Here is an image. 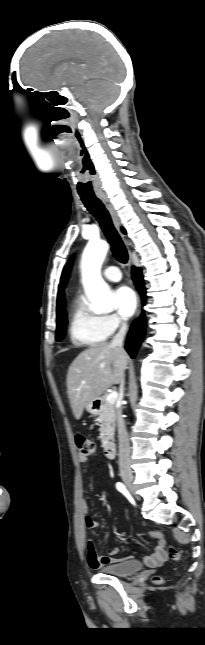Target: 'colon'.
Returning a JSON list of instances; mask_svg holds the SVG:
<instances>
[{
  "instance_id": "obj_1",
  "label": "colon",
  "mask_w": 205,
  "mask_h": 645,
  "mask_svg": "<svg viewBox=\"0 0 205 645\" xmlns=\"http://www.w3.org/2000/svg\"><path fill=\"white\" fill-rule=\"evenodd\" d=\"M75 443L77 446V450L81 456L86 458L94 456L95 444L90 438L79 434L75 436ZM149 536L153 538H158V539H165V536L159 532H151L149 533ZM168 555L172 560H175V561H178L181 558V554L179 550L173 545H170L168 547ZM153 580L156 583H161L163 581L162 577L160 576H155Z\"/></svg>"
}]
</instances>
